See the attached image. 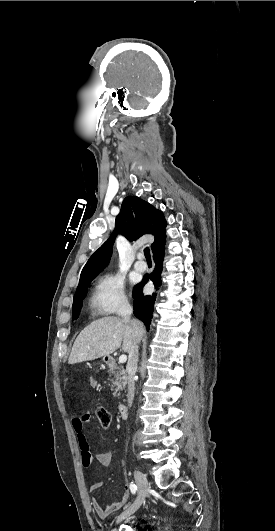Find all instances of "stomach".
<instances>
[{
  "mask_svg": "<svg viewBox=\"0 0 275 531\" xmlns=\"http://www.w3.org/2000/svg\"><path fill=\"white\" fill-rule=\"evenodd\" d=\"M103 361L104 363H108V365H110V363H112V357H110V355H104Z\"/></svg>",
  "mask_w": 275,
  "mask_h": 531,
  "instance_id": "obj_1",
  "label": "stomach"
}]
</instances>
